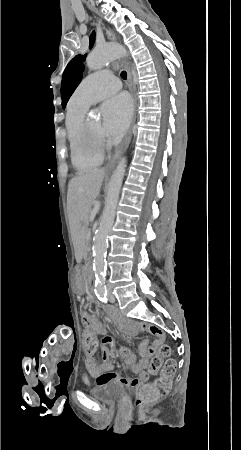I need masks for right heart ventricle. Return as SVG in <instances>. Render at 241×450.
Masks as SVG:
<instances>
[{"instance_id":"e07e8e85","label":"right heart ventricle","mask_w":241,"mask_h":450,"mask_svg":"<svg viewBox=\"0 0 241 450\" xmlns=\"http://www.w3.org/2000/svg\"><path fill=\"white\" fill-rule=\"evenodd\" d=\"M87 108V104L72 100L68 105L66 114V131L70 143L71 159L74 166L78 169L97 166L103 159V157H95V153H93L92 157H88L87 153H80L78 151L80 143L75 139L81 134L77 133V127L85 120L84 117ZM87 124H89L88 120H86L85 128Z\"/></svg>"}]
</instances>
